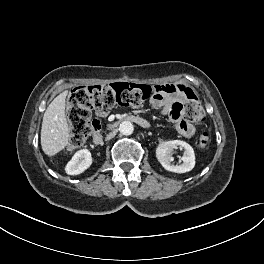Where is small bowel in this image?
Wrapping results in <instances>:
<instances>
[{
  "mask_svg": "<svg viewBox=\"0 0 264 264\" xmlns=\"http://www.w3.org/2000/svg\"><path fill=\"white\" fill-rule=\"evenodd\" d=\"M183 95L178 90L170 93H165L158 98L151 100V104L160 110L162 115H166L174 123L177 131L184 137H192L195 133V128L192 124L185 122L182 119ZM98 116H105L106 112L98 113Z\"/></svg>",
  "mask_w": 264,
  "mask_h": 264,
  "instance_id": "obj_1",
  "label": "small bowel"
}]
</instances>
